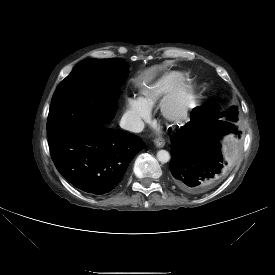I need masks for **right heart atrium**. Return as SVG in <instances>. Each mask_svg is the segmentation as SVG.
Segmentation results:
<instances>
[{
  "instance_id": "right-heart-atrium-1",
  "label": "right heart atrium",
  "mask_w": 275,
  "mask_h": 275,
  "mask_svg": "<svg viewBox=\"0 0 275 275\" xmlns=\"http://www.w3.org/2000/svg\"><path fill=\"white\" fill-rule=\"evenodd\" d=\"M125 114L130 125L136 130H140L150 116L149 110L136 98H127Z\"/></svg>"
}]
</instances>
